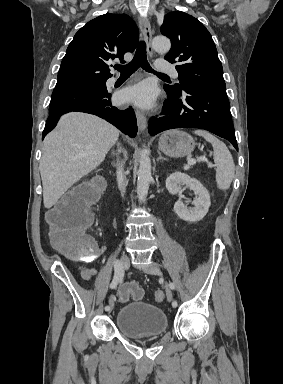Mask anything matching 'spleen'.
<instances>
[{"instance_id": "1", "label": "spleen", "mask_w": 283, "mask_h": 384, "mask_svg": "<svg viewBox=\"0 0 283 384\" xmlns=\"http://www.w3.org/2000/svg\"><path fill=\"white\" fill-rule=\"evenodd\" d=\"M194 134L203 136L206 142L212 144L214 150L213 158L216 166L217 188H219V190H228L235 176V166L227 146H225L223 142H220L218 138H215V136H211L209 132H204V130H196Z\"/></svg>"}]
</instances>
